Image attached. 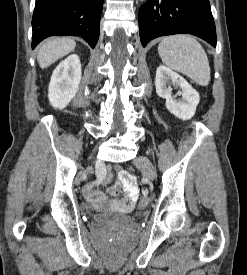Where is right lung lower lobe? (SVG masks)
<instances>
[{"instance_id": "98d812e1", "label": "right lung lower lobe", "mask_w": 247, "mask_h": 275, "mask_svg": "<svg viewBox=\"0 0 247 275\" xmlns=\"http://www.w3.org/2000/svg\"><path fill=\"white\" fill-rule=\"evenodd\" d=\"M103 0H36L32 18V48L59 35L81 36L94 48L99 38Z\"/></svg>"}]
</instances>
